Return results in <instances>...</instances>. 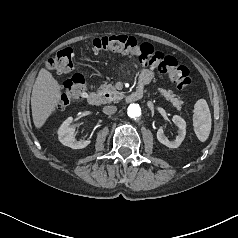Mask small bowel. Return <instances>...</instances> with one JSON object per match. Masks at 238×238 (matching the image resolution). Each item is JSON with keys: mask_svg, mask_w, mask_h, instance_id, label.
Listing matches in <instances>:
<instances>
[{"mask_svg": "<svg viewBox=\"0 0 238 238\" xmlns=\"http://www.w3.org/2000/svg\"><path fill=\"white\" fill-rule=\"evenodd\" d=\"M154 77L155 73L152 68L143 69L138 77V87L143 88L144 85L151 83Z\"/></svg>", "mask_w": 238, "mask_h": 238, "instance_id": "1", "label": "small bowel"}]
</instances>
